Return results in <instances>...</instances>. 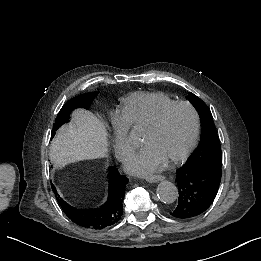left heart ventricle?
I'll use <instances>...</instances> for the list:
<instances>
[{"mask_svg":"<svg viewBox=\"0 0 261 261\" xmlns=\"http://www.w3.org/2000/svg\"><path fill=\"white\" fill-rule=\"evenodd\" d=\"M194 129L191 112L182 107H170L152 123L136 125L140 142L150 144L162 159L175 155L187 145Z\"/></svg>","mask_w":261,"mask_h":261,"instance_id":"obj_1","label":"left heart ventricle"}]
</instances>
